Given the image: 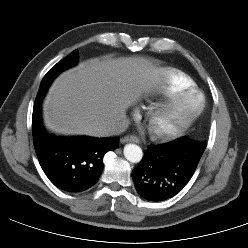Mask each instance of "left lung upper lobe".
Wrapping results in <instances>:
<instances>
[{
  "label": "left lung upper lobe",
  "instance_id": "1",
  "mask_svg": "<svg viewBox=\"0 0 248 248\" xmlns=\"http://www.w3.org/2000/svg\"><path fill=\"white\" fill-rule=\"evenodd\" d=\"M192 141V140H191ZM194 144L200 146L201 148L205 149L206 148V143L205 142H196V141H192Z\"/></svg>",
  "mask_w": 248,
  "mask_h": 248
}]
</instances>
